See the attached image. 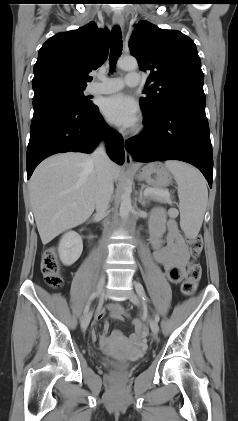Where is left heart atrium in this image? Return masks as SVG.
Instances as JSON below:
<instances>
[{
    "label": "left heart atrium",
    "instance_id": "1",
    "mask_svg": "<svg viewBox=\"0 0 238 421\" xmlns=\"http://www.w3.org/2000/svg\"><path fill=\"white\" fill-rule=\"evenodd\" d=\"M101 111L109 122L122 127H133L138 121L136 102L123 93L105 98Z\"/></svg>",
    "mask_w": 238,
    "mask_h": 421
}]
</instances>
